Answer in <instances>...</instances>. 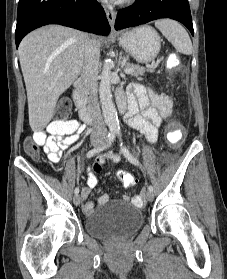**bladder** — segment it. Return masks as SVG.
<instances>
[{
  "instance_id": "1",
  "label": "bladder",
  "mask_w": 227,
  "mask_h": 279,
  "mask_svg": "<svg viewBox=\"0 0 227 279\" xmlns=\"http://www.w3.org/2000/svg\"><path fill=\"white\" fill-rule=\"evenodd\" d=\"M144 217L134 204L111 200L85 220L86 232L96 238L127 237L138 231Z\"/></svg>"
}]
</instances>
